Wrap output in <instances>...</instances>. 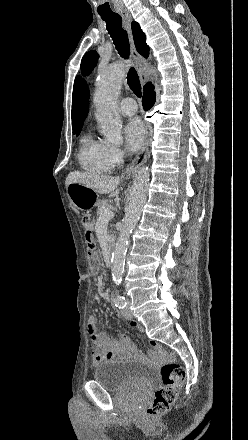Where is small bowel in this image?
I'll return each instance as SVG.
<instances>
[{
	"mask_svg": "<svg viewBox=\"0 0 248 440\" xmlns=\"http://www.w3.org/2000/svg\"><path fill=\"white\" fill-rule=\"evenodd\" d=\"M104 297L108 298L107 295ZM131 326L139 332H143V327L139 323L132 321ZM87 330L91 338L93 366H97L104 361L116 360L126 356H140L138 350L127 336L121 335L119 338H116L100 331L96 318L93 316L88 320ZM146 343L148 347L154 348L156 356L163 355V349L157 344L155 338H148Z\"/></svg>",
	"mask_w": 248,
	"mask_h": 440,
	"instance_id": "obj_1",
	"label": "small bowel"
}]
</instances>
